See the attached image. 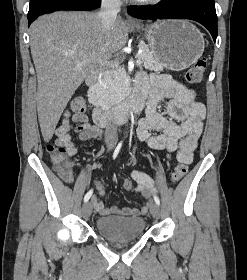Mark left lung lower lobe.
<instances>
[{"label": "left lung lower lobe", "instance_id": "0a47b994", "mask_svg": "<svg viewBox=\"0 0 247 280\" xmlns=\"http://www.w3.org/2000/svg\"><path fill=\"white\" fill-rule=\"evenodd\" d=\"M127 12L139 19L194 20L205 26L216 41L217 16L214 0H162L152 7H130Z\"/></svg>", "mask_w": 247, "mask_h": 280}]
</instances>
